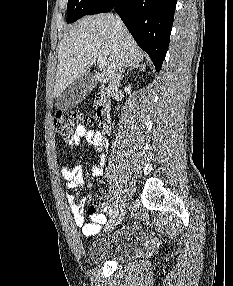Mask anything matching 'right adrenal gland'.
Segmentation results:
<instances>
[{
  "label": "right adrenal gland",
  "mask_w": 233,
  "mask_h": 286,
  "mask_svg": "<svg viewBox=\"0 0 233 286\" xmlns=\"http://www.w3.org/2000/svg\"><path fill=\"white\" fill-rule=\"evenodd\" d=\"M135 68H139V70H144V69H145V65H144L143 63H140V64H135V65L131 66V67L127 70L126 75H128V73H129L131 70L135 69Z\"/></svg>",
  "instance_id": "1"
}]
</instances>
